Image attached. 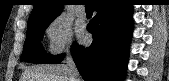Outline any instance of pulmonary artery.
<instances>
[{
    "instance_id": "pulmonary-artery-1",
    "label": "pulmonary artery",
    "mask_w": 169,
    "mask_h": 81,
    "mask_svg": "<svg viewBox=\"0 0 169 81\" xmlns=\"http://www.w3.org/2000/svg\"><path fill=\"white\" fill-rule=\"evenodd\" d=\"M85 13H86V11H85L84 9H82V8L77 11V14H78L80 17H83V16L85 15Z\"/></svg>"
}]
</instances>
